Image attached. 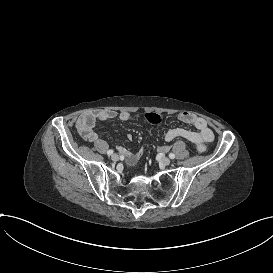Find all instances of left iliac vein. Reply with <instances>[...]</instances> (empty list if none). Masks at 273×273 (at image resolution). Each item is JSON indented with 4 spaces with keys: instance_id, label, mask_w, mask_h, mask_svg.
Segmentation results:
<instances>
[{
    "instance_id": "obj_1",
    "label": "left iliac vein",
    "mask_w": 273,
    "mask_h": 273,
    "mask_svg": "<svg viewBox=\"0 0 273 273\" xmlns=\"http://www.w3.org/2000/svg\"><path fill=\"white\" fill-rule=\"evenodd\" d=\"M171 163V160L169 158L164 157L163 159H161V164L164 166H167Z\"/></svg>"
}]
</instances>
